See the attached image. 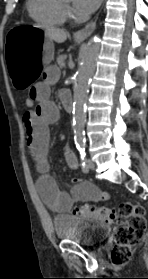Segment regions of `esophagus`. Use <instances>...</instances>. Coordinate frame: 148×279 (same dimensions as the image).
<instances>
[{
  "label": "esophagus",
  "mask_w": 148,
  "mask_h": 279,
  "mask_svg": "<svg viewBox=\"0 0 148 279\" xmlns=\"http://www.w3.org/2000/svg\"><path fill=\"white\" fill-rule=\"evenodd\" d=\"M98 18V16H97ZM97 18L95 19V21L90 22L89 24H87L84 28L78 30L77 32L74 33V38L76 40H85L88 36H90L95 28H96V21Z\"/></svg>",
  "instance_id": "1"
}]
</instances>
